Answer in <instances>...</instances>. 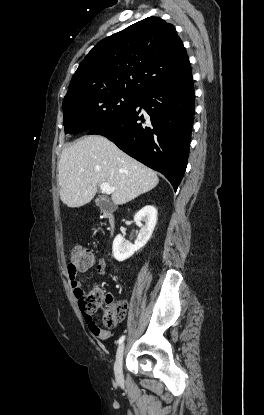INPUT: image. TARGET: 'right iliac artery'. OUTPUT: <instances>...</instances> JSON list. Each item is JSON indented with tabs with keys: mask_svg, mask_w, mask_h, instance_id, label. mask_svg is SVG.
<instances>
[{
	"mask_svg": "<svg viewBox=\"0 0 264 415\" xmlns=\"http://www.w3.org/2000/svg\"><path fill=\"white\" fill-rule=\"evenodd\" d=\"M125 339V335H122L119 340H118V344L120 345Z\"/></svg>",
	"mask_w": 264,
	"mask_h": 415,
	"instance_id": "right-iliac-artery-1",
	"label": "right iliac artery"
}]
</instances>
